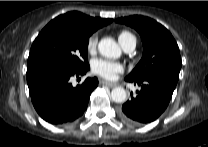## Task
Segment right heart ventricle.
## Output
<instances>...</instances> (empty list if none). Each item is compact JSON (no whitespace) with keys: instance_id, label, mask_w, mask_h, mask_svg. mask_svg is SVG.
<instances>
[{"instance_id":"obj_1","label":"right heart ventricle","mask_w":208,"mask_h":147,"mask_svg":"<svg viewBox=\"0 0 208 147\" xmlns=\"http://www.w3.org/2000/svg\"><path fill=\"white\" fill-rule=\"evenodd\" d=\"M132 36L133 35L130 32H128V31H122V32H120L119 35H118V41H119L120 45L122 47H124L127 44L128 40Z\"/></svg>"}]
</instances>
